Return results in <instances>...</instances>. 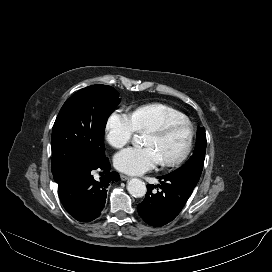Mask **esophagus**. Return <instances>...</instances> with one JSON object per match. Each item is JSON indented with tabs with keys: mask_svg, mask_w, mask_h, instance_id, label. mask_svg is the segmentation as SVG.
Here are the masks:
<instances>
[{
	"mask_svg": "<svg viewBox=\"0 0 272 272\" xmlns=\"http://www.w3.org/2000/svg\"><path fill=\"white\" fill-rule=\"evenodd\" d=\"M120 177H121V180H122V181H126V180H129V179H130L129 176L124 175V174H121Z\"/></svg>",
	"mask_w": 272,
	"mask_h": 272,
	"instance_id": "esophagus-1",
	"label": "esophagus"
}]
</instances>
